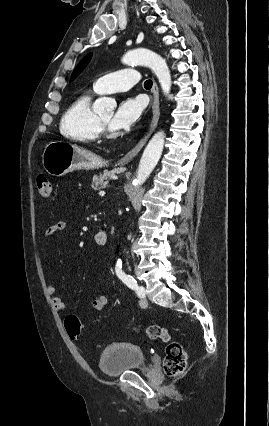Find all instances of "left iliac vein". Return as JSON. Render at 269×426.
<instances>
[{
  "mask_svg": "<svg viewBox=\"0 0 269 426\" xmlns=\"http://www.w3.org/2000/svg\"><path fill=\"white\" fill-rule=\"evenodd\" d=\"M140 306H141L142 308H146V307L148 306V301H147V299H146V298L141 299V301H140Z\"/></svg>",
  "mask_w": 269,
  "mask_h": 426,
  "instance_id": "4c4485c4",
  "label": "left iliac vein"
}]
</instances>
